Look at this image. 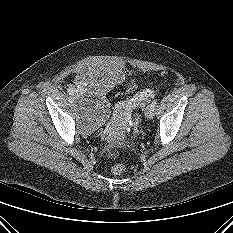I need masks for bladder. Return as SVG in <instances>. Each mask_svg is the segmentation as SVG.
Listing matches in <instances>:
<instances>
[{
    "label": "bladder",
    "mask_w": 233,
    "mask_h": 233,
    "mask_svg": "<svg viewBox=\"0 0 233 233\" xmlns=\"http://www.w3.org/2000/svg\"><path fill=\"white\" fill-rule=\"evenodd\" d=\"M123 80V70L112 65L89 63L82 66L74 85L80 123L86 133H92L108 120L107 93Z\"/></svg>",
    "instance_id": "1"
}]
</instances>
